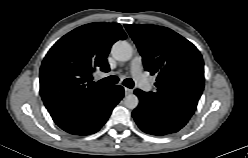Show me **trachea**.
Listing matches in <instances>:
<instances>
[{"instance_id":"trachea-1","label":"trachea","mask_w":248,"mask_h":158,"mask_svg":"<svg viewBox=\"0 0 248 158\" xmlns=\"http://www.w3.org/2000/svg\"><path fill=\"white\" fill-rule=\"evenodd\" d=\"M118 81H119V78L117 76H109L107 78L99 80L98 84H100V85H114V84H117ZM123 84L128 88L134 87V82L130 78L125 79L123 81Z\"/></svg>"}]
</instances>
